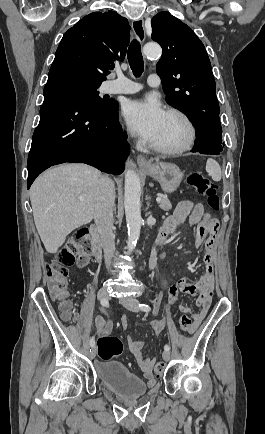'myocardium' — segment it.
<instances>
[{
    "instance_id": "f54148a6",
    "label": "myocardium",
    "mask_w": 265,
    "mask_h": 434,
    "mask_svg": "<svg viewBox=\"0 0 265 434\" xmlns=\"http://www.w3.org/2000/svg\"><path fill=\"white\" fill-rule=\"evenodd\" d=\"M166 115L167 116H174L176 118H178L184 125L185 127V137L183 142L174 148H159L154 146L153 144H150L149 147L150 149L158 154V155H162V156H179L182 155L183 153L187 152L188 150H190L195 142V138H196V129L195 126L192 122V120L190 119V117L181 109L176 108V107H171L166 111Z\"/></svg>"
}]
</instances>
